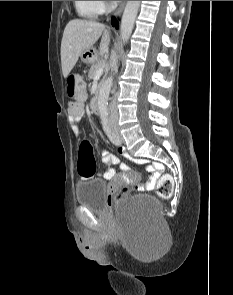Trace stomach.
<instances>
[{
	"label": "stomach",
	"instance_id": "obj_1",
	"mask_svg": "<svg viewBox=\"0 0 233 295\" xmlns=\"http://www.w3.org/2000/svg\"><path fill=\"white\" fill-rule=\"evenodd\" d=\"M80 56L81 60L87 64L91 63L96 58L90 49L85 50Z\"/></svg>",
	"mask_w": 233,
	"mask_h": 295
}]
</instances>
